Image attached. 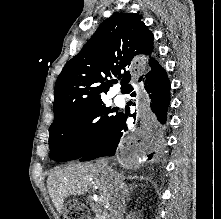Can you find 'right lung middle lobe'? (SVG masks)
<instances>
[{
  "instance_id": "dd1d6c3e",
  "label": "right lung middle lobe",
  "mask_w": 221,
  "mask_h": 219,
  "mask_svg": "<svg viewBox=\"0 0 221 219\" xmlns=\"http://www.w3.org/2000/svg\"><path fill=\"white\" fill-rule=\"evenodd\" d=\"M113 112L103 101H97L53 121L49 128L50 158L68 161L87 154L112 127L118 115Z\"/></svg>"
}]
</instances>
